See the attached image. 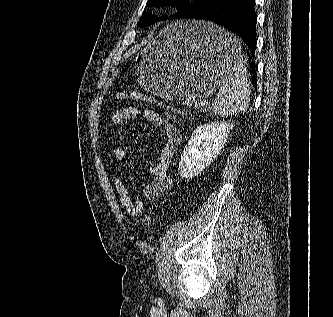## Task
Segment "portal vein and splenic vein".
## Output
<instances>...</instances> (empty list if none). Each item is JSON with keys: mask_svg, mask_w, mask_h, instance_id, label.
Wrapping results in <instances>:
<instances>
[{"mask_svg": "<svg viewBox=\"0 0 333 317\" xmlns=\"http://www.w3.org/2000/svg\"><path fill=\"white\" fill-rule=\"evenodd\" d=\"M201 104L206 105V104H208V101L203 100V101H201ZM187 106H192V102H188Z\"/></svg>", "mask_w": 333, "mask_h": 317, "instance_id": "1", "label": "portal vein and splenic vein"}]
</instances>
